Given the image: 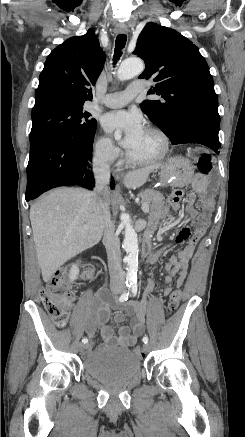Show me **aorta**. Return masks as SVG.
<instances>
[{"mask_svg":"<svg viewBox=\"0 0 245 437\" xmlns=\"http://www.w3.org/2000/svg\"><path fill=\"white\" fill-rule=\"evenodd\" d=\"M144 70V63L138 58H131L123 61L118 69L117 78L121 81L128 80ZM121 134L119 131L115 132V138L119 139ZM121 225L125 228L123 248L127 255L124 258L127 263V280L134 281L137 276L138 269V239L137 233L133 228L130 216L128 214H121Z\"/></svg>","mask_w":245,"mask_h":437,"instance_id":"1","label":"aorta"}]
</instances>
